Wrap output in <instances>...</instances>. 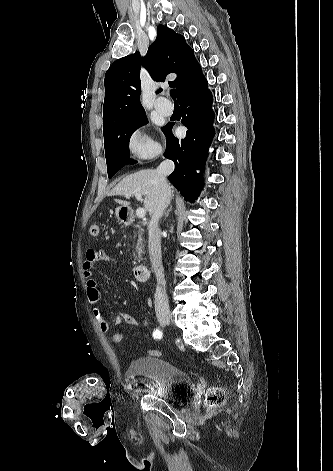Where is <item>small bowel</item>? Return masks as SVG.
<instances>
[{
  "instance_id": "obj_1",
  "label": "small bowel",
  "mask_w": 333,
  "mask_h": 471,
  "mask_svg": "<svg viewBox=\"0 0 333 471\" xmlns=\"http://www.w3.org/2000/svg\"><path fill=\"white\" fill-rule=\"evenodd\" d=\"M97 261H109L116 262V260L107 254L104 250H93L90 249L86 253V258L83 262V274L87 284V299L90 305L93 308L94 318L101 331L107 332L110 330V323L107 320L104 312L99 307L101 300V293L98 289L97 280L94 278V266ZM113 324L119 326L122 324L137 326L140 325V322L131 314L128 313H117ZM143 325H147L148 321L145 320L142 322Z\"/></svg>"
}]
</instances>
